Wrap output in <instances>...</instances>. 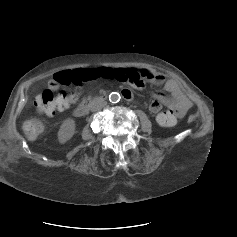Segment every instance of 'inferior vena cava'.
<instances>
[{
	"label": "inferior vena cava",
	"mask_w": 237,
	"mask_h": 237,
	"mask_svg": "<svg viewBox=\"0 0 237 237\" xmlns=\"http://www.w3.org/2000/svg\"><path fill=\"white\" fill-rule=\"evenodd\" d=\"M107 102L104 101L102 98H96L90 103L91 111H98L106 106Z\"/></svg>",
	"instance_id": "obj_1"
}]
</instances>
